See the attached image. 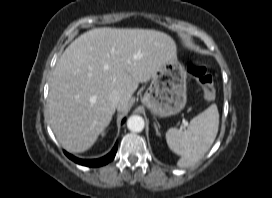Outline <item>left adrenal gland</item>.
I'll return each instance as SVG.
<instances>
[{
	"label": "left adrenal gland",
	"mask_w": 272,
	"mask_h": 198,
	"mask_svg": "<svg viewBox=\"0 0 272 198\" xmlns=\"http://www.w3.org/2000/svg\"><path fill=\"white\" fill-rule=\"evenodd\" d=\"M154 127H155V130H156V135L161 136L156 123H154Z\"/></svg>",
	"instance_id": "1"
}]
</instances>
